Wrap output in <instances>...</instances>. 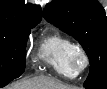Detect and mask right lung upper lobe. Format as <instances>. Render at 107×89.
<instances>
[{
    "mask_svg": "<svg viewBox=\"0 0 107 89\" xmlns=\"http://www.w3.org/2000/svg\"><path fill=\"white\" fill-rule=\"evenodd\" d=\"M42 18L41 8L24 0H0V23L35 27Z\"/></svg>",
    "mask_w": 107,
    "mask_h": 89,
    "instance_id": "right-lung-upper-lobe-1",
    "label": "right lung upper lobe"
}]
</instances>
